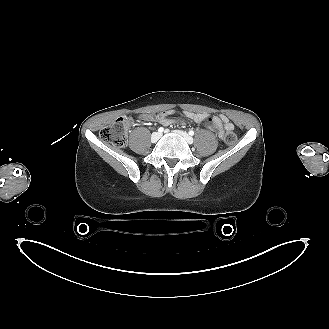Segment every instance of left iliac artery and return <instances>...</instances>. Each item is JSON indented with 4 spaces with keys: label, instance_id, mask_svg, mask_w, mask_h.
Masks as SVG:
<instances>
[{
    "label": "left iliac artery",
    "instance_id": "1",
    "mask_svg": "<svg viewBox=\"0 0 329 329\" xmlns=\"http://www.w3.org/2000/svg\"><path fill=\"white\" fill-rule=\"evenodd\" d=\"M189 135L193 136L194 135V131L193 130H190L189 131Z\"/></svg>",
    "mask_w": 329,
    "mask_h": 329
}]
</instances>
